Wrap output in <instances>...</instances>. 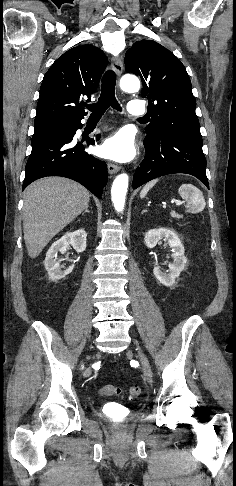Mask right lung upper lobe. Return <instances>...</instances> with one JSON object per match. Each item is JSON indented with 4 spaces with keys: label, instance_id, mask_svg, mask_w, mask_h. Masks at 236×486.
Wrapping results in <instances>:
<instances>
[{
    "label": "right lung upper lobe",
    "instance_id": "right-lung-upper-lobe-1",
    "mask_svg": "<svg viewBox=\"0 0 236 486\" xmlns=\"http://www.w3.org/2000/svg\"><path fill=\"white\" fill-rule=\"evenodd\" d=\"M107 62L103 51L92 45L74 47L60 56L43 78L35 126L84 118L81 99L90 100Z\"/></svg>",
    "mask_w": 236,
    "mask_h": 486
}]
</instances>
